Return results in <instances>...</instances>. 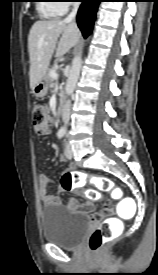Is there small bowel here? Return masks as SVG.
<instances>
[{
	"label": "small bowel",
	"instance_id": "small-bowel-1",
	"mask_svg": "<svg viewBox=\"0 0 158 275\" xmlns=\"http://www.w3.org/2000/svg\"><path fill=\"white\" fill-rule=\"evenodd\" d=\"M50 129L51 128L47 129L42 134L49 133ZM60 160L65 161V158L61 157ZM74 168H75V165L71 164L67 168V171H72ZM52 183H53V180L50 177H48L47 175H45V174L39 175L38 190H39V195H40L41 201L43 202L44 205H57L60 203V199L57 196L50 194L48 191L49 185ZM60 189H62L61 186H60ZM67 206L71 210L87 213L93 217H96L98 214L94 211V205L92 204V202H85V203L81 204L75 198H69L67 200Z\"/></svg>",
	"mask_w": 158,
	"mask_h": 275
}]
</instances>
